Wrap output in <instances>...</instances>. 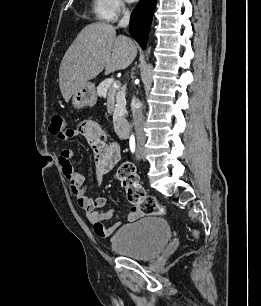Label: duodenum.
Listing matches in <instances>:
<instances>
[{
	"label": "duodenum",
	"mask_w": 261,
	"mask_h": 306,
	"mask_svg": "<svg viewBox=\"0 0 261 306\" xmlns=\"http://www.w3.org/2000/svg\"><path fill=\"white\" fill-rule=\"evenodd\" d=\"M116 133L122 138H128L130 135V124L124 118H117L114 122Z\"/></svg>",
	"instance_id": "410a0bca"
}]
</instances>
